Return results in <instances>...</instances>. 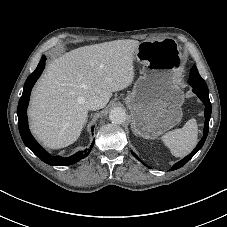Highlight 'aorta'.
Wrapping results in <instances>:
<instances>
[{"instance_id": "762f6f07", "label": "aorta", "mask_w": 227, "mask_h": 227, "mask_svg": "<svg viewBox=\"0 0 227 227\" xmlns=\"http://www.w3.org/2000/svg\"><path fill=\"white\" fill-rule=\"evenodd\" d=\"M109 119L114 124H122L126 121V112L121 107H115L110 111Z\"/></svg>"}]
</instances>
